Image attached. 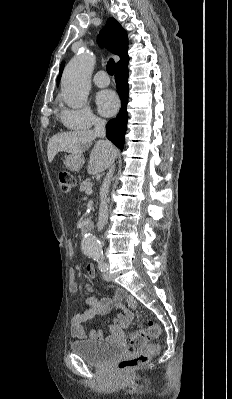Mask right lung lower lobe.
<instances>
[{
	"label": "right lung lower lobe",
	"mask_w": 232,
	"mask_h": 399,
	"mask_svg": "<svg viewBox=\"0 0 232 399\" xmlns=\"http://www.w3.org/2000/svg\"><path fill=\"white\" fill-rule=\"evenodd\" d=\"M128 60H125L116 66L115 71V81L117 86V91L121 99V109L115 119L108 122L106 126V136L107 138L120 150H123L124 146V136L127 128L128 113H127V103H128Z\"/></svg>",
	"instance_id": "1"
}]
</instances>
